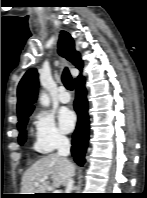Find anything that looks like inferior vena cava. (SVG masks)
<instances>
[{"label": "inferior vena cava", "mask_w": 147, "mask_h": 198, "mask_svg": "<svg viewBox=\"0 0 147 198\" xmlns=\"http://www.w3.org/2000/svg\"><path fill=\"white\" fill-rule=\"evenodd\" d=\"M57 150H58V155L61 157H64L66 160L68 155L70 154V142L69 139L65 136H59L58 141H57ZM73 179L72 177H69L67 182L65 183L66 186V193H71L73 190Z\"/></svg>", "instance_id": "inferior-vena-cava-1"}]
</instances>
